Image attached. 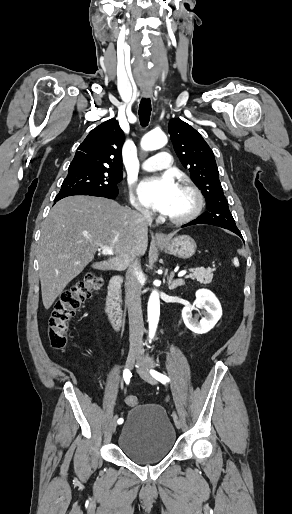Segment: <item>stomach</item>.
<instances>
[{"instance_id": "0dacf381", "label": "stomach", "mask_w": 292, "mask_h": 514, "mask_svg": "<svg viewBox=\"0 0 292 514\" xmlns=\"http://www.w3.org/2000/svg\"><path fill=\"white\" fill-rule=\"evenodd\" d=\"M159 248L165 250L166 254L176 256V258H191L196 252V242L190 236H177L172 238L169 242H155Z\"/></svg>"}]
</instances>
